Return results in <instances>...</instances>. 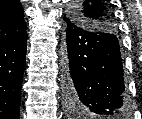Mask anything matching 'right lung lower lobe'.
Masks as SVG:
<instances>
[{
    "mask_svg": "<svg viewBox=\"0 0 142 119\" xmlns=\"http://www.w3.org/2000/svg\"><path fill=\"white\" fill-rule=\"evenodd\" d=\"M27 33L0 43V119H19Z\"/></svg>",
    "mask_w": 142,
    "mask_h": 119,
    "instance_id": "98d812e1",
    "label": "right lung lower lobe"
}]
</instances>
